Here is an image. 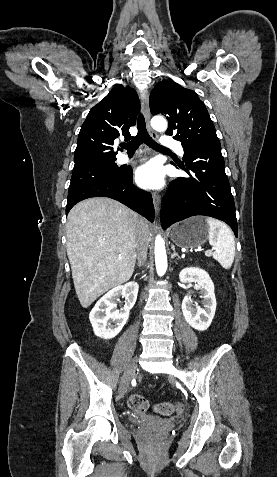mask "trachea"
Listing matches in <instances>:
<instances>
[{
	"mask_svg": "<svg viewBox=\"0 0 277 477\" xmlns=\"http://www.w3.org/2000/svg\"><path fill=\"white\" fill-rule=\"evenodd\" d=\"M137 129H138V133H137L136 137L134 139H132L131 141L121 145V147L123 149L127 150V153H134L142 143H145L150 148H152L154 150H157V151L170 152L169 149H167L166 147L161 146L160 144L155 142L150 137V135L148 134L147 129H146L144 116L142 114H140L139 117H138Z\"/></svg>",
	"mask_w": 277,
	"mask_h": 477,
	"instance_id": "1",
	"label": "trachea"
}]
</instances>
